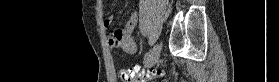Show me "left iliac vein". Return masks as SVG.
Masks as SVG:
<instances>
[{
	"label": "left iliac vein",
	"mask_w": 279,
	"mask_h": 82,
	"mask_svg": "<svg viewBox=\"0 0 279 82\" xmlns=\"http://www.w3.org/2000/svg\"><path fill=\"white\" fill-rule=\"evenodd\" d=\"M160 45L159 44H155L152 48V50L150 51V56L149 59L145 62V67L149 68L154 66L160 57Z\"/></svg>",
	"instance_id": "left-iliac-vein-1"
}]
</instances>
